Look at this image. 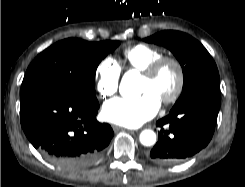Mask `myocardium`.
Returning <instances> with one entry per match:
<instances>
[{
    "label": "myocardium",
    "instance_id": "myocardium-1",
    "mask_svg": "<svg viewBox=\"0 0 245 187\" xmlns=\"http://www.w3.org/2000/svg\"><path fill=\"white\" fill-rule=\"evenodd\" d=\"M166 66H172L176 71V84L170 95L161 99L165 105L175 103L183 93L185 86V72L181 62L172 56H162L143 70V76L149 79L156 77L159 72Z\"/></svg>",
    "mask_w": 245,
    "mask_h": 187
}]
</instances>
